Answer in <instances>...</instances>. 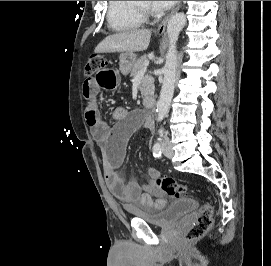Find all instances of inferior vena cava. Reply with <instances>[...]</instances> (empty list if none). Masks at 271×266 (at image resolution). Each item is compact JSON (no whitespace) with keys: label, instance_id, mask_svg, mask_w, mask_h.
Here are the masks:
<instances>
[{"label":"inferior vena cava","instance_id":"602c4592","mask_svg":"<svg viewBox=\"0 0 271 266\" xmlns=\"http://www.w3.org/2000/svg\"><path fill=\"white\" fill-rule=\"evenodd\" d=\"M164 139L167 140V136L166 135L164 136Z\"/></svg>","mask_w":271,"mask_h":266}]
</instances>
